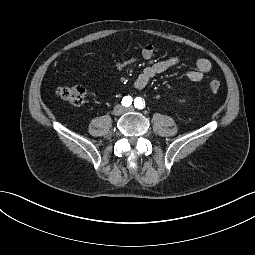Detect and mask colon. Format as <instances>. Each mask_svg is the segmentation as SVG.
Wrapping results in <instances>:
<instances>
[{"instance_id": "obj_1", "label": "colon", "mask_w": 255, "mask_h": 255, "mask_svg": "<svg viewBox=\"0 0 255 255\" xmlns=\"http://www.w3.org/2000/svg\"><path fill=\"white\" fill-rule=\"evenodd\" d=\"M208 87L212 92H217L221 87V83L217 79H212L209 81ZM56 94L67 103L80 106L85 103L87 90L81 85L63 86L56 90Z\"/></svg>"}]
</instances>
